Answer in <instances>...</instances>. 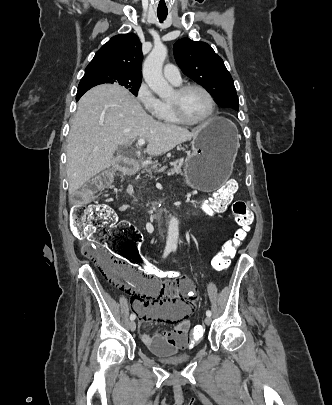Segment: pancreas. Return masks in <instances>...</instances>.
<instances>
[{
  "mask_svg": "<svg viewBox=\"0 0 332 405\" xmlns=\"http://www.w3.org/2000/svg\"><path fill=\"white\" fill-rule=\"evenodd\" d=\"M170 164H171V166H173V168L170 169L167 172L168 176L179 175V174L182 175L183 174L182 173V164L181 163H179L178 161H174V162H171ZM158 166H160V165H158V164L154 165L152 167V170H157ZM149 172L151 173V170Z\"/></svg>",
  "mask_w": 332,
  "mask_h": 405,
  "instance_id": "obj_1",
  "label": "pancreas"
}]
</instances>
